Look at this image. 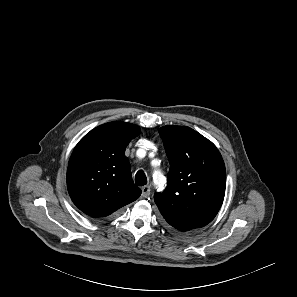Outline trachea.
<instances>
[{
	"label": "trachea",
	"mask_w": 297,
	"mask_h": 297,
	"mask_svg": "<svg viewBox=\"0 0 297 297\" xmlns=\"http://www.w3.org/2000/svg\"><path fill=\"white\" fill-rule=\"evenodd\" d=\"M135 183L138 186H144L147 184V177L143 171H138L135 175Z\"/></svg>",
	"instance_id": "1"
}]
</instances>
